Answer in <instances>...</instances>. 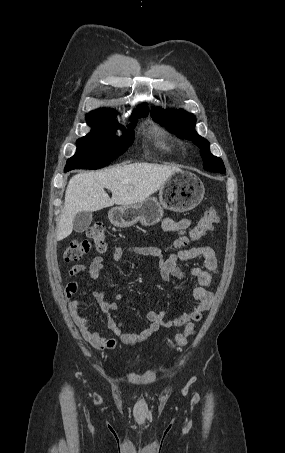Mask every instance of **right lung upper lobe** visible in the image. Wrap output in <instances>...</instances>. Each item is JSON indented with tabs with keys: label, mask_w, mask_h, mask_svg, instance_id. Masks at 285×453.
Instances as JSON below:
<instances>
[{
	"label": "right lung upper lobe",
	"mask_w": 285,
	"mask_h": 453,
	"mask_svg": "<svg viewBox=\"0 0 285 453\" xmlns=\"http://www.w3.org/2000/svg\"><path fill=\"white\" fill-rule=\"evenodd\" d=\"M93 112H99V113H108V114H116V111L113 110V109H100V110H97V111H93ZM138 112H149V109L147 107V104L144 103L142 106H138L137 110H135L134 113H138Z\"/></svg>",
	"instance_id": "1"
}]
</instances>
